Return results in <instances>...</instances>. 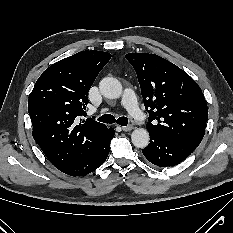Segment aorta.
Returning <instances> with one entry per match:
<instances>
[{
  "label": "aorta",
  "mask_w": 233,
  "mask_h": 233,
  "mask_svg": "<svg viewBox=\"0 0 233 233\" xmlns=\"http://www.w3.org/2000/svg\"><path fill=\"white\" fill-rule=\"evenodd\" d=\"M101 94L109 99H117L122 94V85L113 77H105L99 83ZM131 140L135 147L145 148L149 143V133L144 128H137L131 134Z\"/></svg>",
  "instance_id": "obj_1"
}]
</instances>
